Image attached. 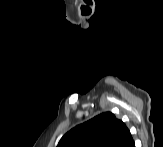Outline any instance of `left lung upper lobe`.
Masks as SVG:
<instances>
[{
	"label": "left lung upper lobe",
	"instance_id": "obj_1",
	"mask_svg": "<svg viewBox=\"0 0 163 147\" xmlns=\"http://www.w3.org/2000/svg\"><path fill=\"white\" fill-rule=\"evenodd\" d=\"M126 129L113 113H102L67 132L57 147H115Z\"/></svg>",
	"mask_w": 163,
	"mask_h": 147
}]
</instances>
